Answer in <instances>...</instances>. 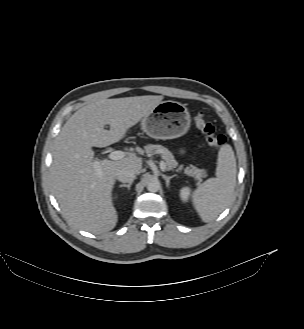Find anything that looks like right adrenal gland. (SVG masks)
Returning <instances> with one entry per match:
<instances>
[{
    "label": "right adrenal gland",
    "mask_w": 304,
    "mask_h": 329,
    "mask_svg": "<svg viewBox=\"0 0 304 329\" xmlns=\"http://www.w3.org/2000/svg\"><path fill=\"white\" fill-rule=\"evenodd\" d=\"M131 185H132V182H130L129 184H121V185H119V187L120 188L126 187V188H128V190H130Z\"/></svg>",
    "instance_id": "obj_1"
}]
</instances>
